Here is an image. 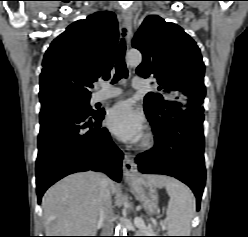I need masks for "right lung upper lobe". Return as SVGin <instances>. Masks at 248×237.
I'll return each instance as SVG.
<instances>
[{
	"label": "right lung upper lobe",
	"instance_id": "obj_1",
	"mask_svg": "<svg viewBox=\"0 0 248 237\" xmlns=\"http://www.w3.org/2000/svg\"><path fill=\"white\" fill-rule=\"evenodd\" d=\"M117 43L118 23L112 12H96L69 25L44 55L41 104L61 98L90 99L92 83L110 77Z\"/></svg>",
	"mask_w": 248,
	"mask_h": 237
}]
</instances>
